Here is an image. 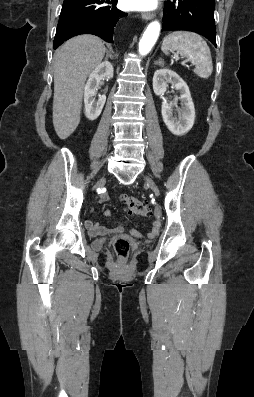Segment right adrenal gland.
<instances>
[{"label": "right adrenal gland", "mask_w": 254, "mask_h": 397, "mask_svg": "<svg viewBox=\"0 0 254 397\" xmlns=\"http://www.w3.org/2000/svg\"><path fill=\"white\" fill-rule=\"evenodd\" d=\"M106 58L105 59H107L108 57H109V51L108 50H106ZM110 57H112V55H110Z\"/></svg>", "instance_id": "1"}]
</instances>
